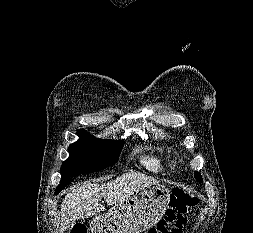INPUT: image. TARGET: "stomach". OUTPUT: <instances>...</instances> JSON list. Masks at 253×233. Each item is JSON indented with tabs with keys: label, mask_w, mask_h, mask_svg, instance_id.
I'll return each instance as SVG.
<instances>
[{
	"label": "stomach",
	"mask_w": 253,
	"mask_h": 233,
	"mask_svg": "<svg viewBox=\"0 0 253 233\" xmlns=\"http://www.w3.org/2000/svg\"><path fill=\"white\" fill-rule=\"evenodd\" d=\"M169 201L170 191L160 184L142 188L106 215L96 217L92 233H141L162 218Z\"/></svg>",
	"instance_id": "1"
}]
</instances>
